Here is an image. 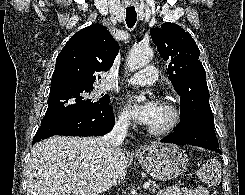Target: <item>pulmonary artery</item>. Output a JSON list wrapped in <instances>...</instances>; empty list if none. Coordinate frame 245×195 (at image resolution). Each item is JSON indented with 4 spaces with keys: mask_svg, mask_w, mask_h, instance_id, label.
<instances>
[{
    "mask_svg": "<svg viewBox=\"0 0 245 195\" xmlns=\"http://www.w3.org/2000/svg\"><path fill=\"white\" fill-rule=\"evenodd\" d=\"M158 79L154 66H147L144 71L137 72L123 79L124 83L134 86H148L155 83Z\"/></svg>",
    "mask_w": 245,
    "mask_h": 195,
    "instance_id": "e3ab8cb5",
    "label": "pulmonary artery"
}]
</instances>
